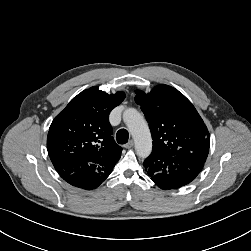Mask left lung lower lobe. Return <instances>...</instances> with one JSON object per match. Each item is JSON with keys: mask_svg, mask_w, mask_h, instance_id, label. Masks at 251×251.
Listing matches in <instances>:
<instances>
[{"mask_svg": "<svg viewBox=\"0 0 251 251\" xmlns=\"http://www.w3.org/2000/svg\"><path fill=\"white\" fill-rule=\"evenodd\" d=\"M203 166V162L188 157L170 156L158 152H152L144 161L147 174L162 189H175L190 183Z\"/></svg>", "mask_w": 251, "mask_h": 251, "instance_id": "left-lung-lower-lobe-1", "label": "left lung lower lobe"}]
</instances>
